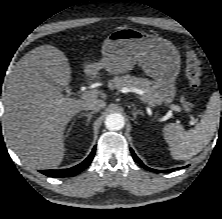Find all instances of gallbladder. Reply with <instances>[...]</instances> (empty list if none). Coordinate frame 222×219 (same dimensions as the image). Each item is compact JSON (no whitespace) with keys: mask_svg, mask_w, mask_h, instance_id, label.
I'll return each instance as SVG.
<instances>
[{"mask_svg":"<svg viewBox=\"0 0 222 219\" xmlns=\"http://www.w3.org/2000/svg\"><path fill=\"white\" fill-rule=\"evenodd\" d=\"M43 77L45 78V80H46L49 84H51L52 86L60 89V87H59L55 82H53L52 80H50V79H48L47 77H45V75H43Z\"/></svg>","mask_w":222,"mask_h":219,"instance_id":"gallbladder-1","label":"gallbladder"}]
</instances>
